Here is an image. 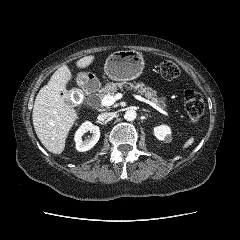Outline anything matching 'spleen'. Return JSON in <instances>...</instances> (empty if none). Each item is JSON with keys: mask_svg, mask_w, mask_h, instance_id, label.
Segmentation results:
<instances>
[{"mask_svg": "<svg viewBox=\"0 0 240 240\" xmlns=\"http://www.w3.org/2000/svg\"><path fill=\"white\" fill-rule=\"evenodd\" d=\"M194 142V137H190L185 143L184 145L182 146V149H186L188 147H190Z\"/></svg>", "mask_w": 240, "mask_h": 240, "instance_id": "spleen-1", "label": "spleen"}]
</instances>
